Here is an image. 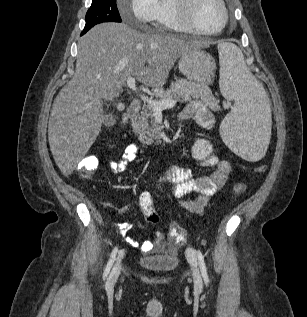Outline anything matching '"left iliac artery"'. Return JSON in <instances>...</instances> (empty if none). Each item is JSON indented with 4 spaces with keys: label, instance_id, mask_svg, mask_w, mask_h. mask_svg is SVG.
Here are the masks:
<instances>
[{
    "label": "left iliac artery",
    "instance_id": "obj_1",
    "mask_svg": "<svg viewBox=\"0 0 307 317\" xmlns=\"http://www.w3.org/2000/svg\"><path fill=\"white\" fill-rule=\"evenodd\" d=\"M197 257H198V262H199V266H200V270H201L203 279H204L205 283L208 284L209 279H208V275H207L206 265L204 262V256L200 250H197Z\"/></svg>",
    "mask_w": 307,
    "mask_h": 317
}]
</instances>
